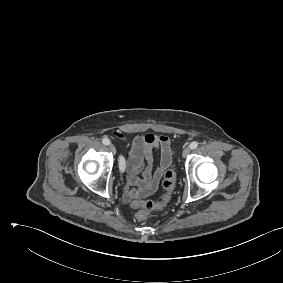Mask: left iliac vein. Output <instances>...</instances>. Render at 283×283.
Here are the masks:
<instances>
[{
    "instance_id": "4c4485c4",
    "label": "left iliac vein",
    "mask_w": 283,
    "mask_h": 283,
    "mask_svg": "<svg viewBox=\"0 0 283 283\" xmlns=\"http://www.w3.org/2000/svg\"><path fill=\"white\" fill-rule=\"evenodd\" d=\"M190 153V148H185L182 152V157L185 158Z\"/></svg>"
}]
</instances>
